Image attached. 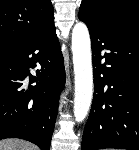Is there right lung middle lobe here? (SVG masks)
I'll return each instance as SVG.
<instances>
[{"mask_svg": "<svg viewBox=\"0 0 139 150\" xmlns=\"http://www.w3.org/2000/svg\"><path fill=\"white\" fill-rule=\"evenodd\" d=\"M12 46L0 45V53L12 49Z\"/></svg>", "mask_w": 139, "mask_h": 150, "instance_id": "right-lung-middle-lobe-1", "label": "right lung middle lobe"}]
</instances>
